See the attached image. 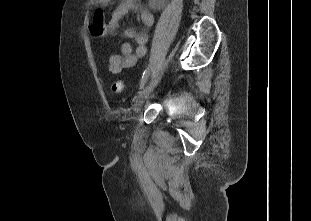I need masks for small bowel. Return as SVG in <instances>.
I'll return each mask as SVG.
<instances>
[{
  "instance_id": "obj_1",
  "label": "small bowel",
  "mask_w": 311,
  "mask_h": 221,
  "mask_svg": "<svg viewBox=\"0 0 311 221\" xmlns=\"http://www.w3.org/2000/svg\"><path fill=\"white\" fill-rule=\"evenodd\" d=\"M130 11L139 13L140 21L145 29L150 28L154 23L153 15L147 11L142 0H122L112 12V17L109 21L110 34L114 35L118 29L119 20L128 14ZM124 36L135 41L134 47L130 43H123L120 51L110 56L109 69L112 73L118 74L123 69L133 67L137 61L146 54L147 32L127 29Z\"/></svg>"
}]
</instances>
